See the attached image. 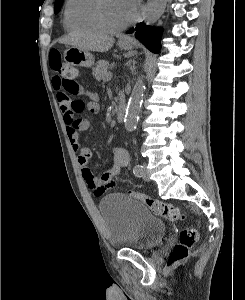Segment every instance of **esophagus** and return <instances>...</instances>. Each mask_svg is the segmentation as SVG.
I'll return each instance as SVG.
<instances>
[{"label": "esophagus", "instance_id": "1", "mask_svg": "<svg viewBox=\"0 0 245 300\" xmlns=\"http://www.w3.org/2000/svg\"><path fill=\"white\" fill-rule=\"evenodd\" d=\"M121 39H122V40H129V37L124 36V37H122Z\"/></svg>", "mask_w": 245, "mask_h": 300}]
</instances>
